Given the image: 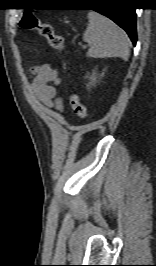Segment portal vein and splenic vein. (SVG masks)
Instances as JSON below:
<instances>
[{"label":"portal vein and splenic vein","mask_w":156,"mask_h":266,"mask_svg":"<svg viewBox=\"0 0 156 266\" xmlns=\"http://www.w3.org/2000/svg\"><path fill=\"white\" fill-rule=\"evenodd\" d=\"M87 46L86 45H83V48H86Z\"/></svg>","instance_id":"18ae733b"}]
</instances>
